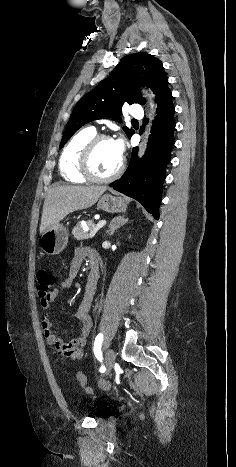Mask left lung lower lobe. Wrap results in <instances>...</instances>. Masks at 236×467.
I'll return each mask as SVG.
<instances>
[{
	"label": "left lung lower lobe",
	"mask_w": 236,
	"mask_h": 467,
	"mask_svg": "<svg viewBox=\"0 0 236 467\" xmlns=\"http://www.w3.org/2000/svg\"><path fill=\"white\" fill-rule=\"evenodd\" d=\"M157 104V116L153 121L145 155L138 160V148H133L127 170L110 186L139 201L158 220L165 170L174 145L175 108L169 88L161 94ZM146 122L147 119L144 120Z\"/></svg>",
	"instance_id": "0a47b994"
}]
</instances>
